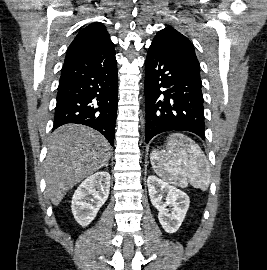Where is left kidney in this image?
Instances as JSON below:
<instances>
[{
	"instance_id": "5707ae66",
	"label": "left kidney",
	"mask_w": 267,
	"mask_h": 270,
	"mask_svg": "<svg viewBox=\"0 0 267 270\" xmlns=\"http://www.w3.org/2000/svg\"><path fill=\"white\" fill-rule=\"evenodd\" d=\"M147 185L151 203L159 211L158 219L161 226L165 232L175 233L181 226L189 208L188 195L155 175L148 177ZM163 194H166L165 202L162 201ZM168 206L170 209L167 208Z\"/></svg>"
}]
</instances>
